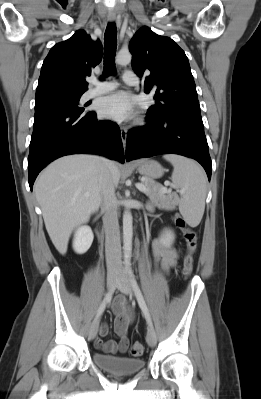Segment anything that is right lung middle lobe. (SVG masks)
I'll use <instances>...</instances> for the list:
<instances>
[{"mask_svg": "<svg viewBox=\"0 0 261 399\" xmlns=\"http://www.w3.org/2000/svg\"><path fill=\"white\" fill-rule=\"evenodd\" d=\"M80 95H71V96H62L56 98H49L40 101H36L35 103V111L45 110L54 107H64L73 109L76 111H83L78 107Z\"/></svg>", "mask_w": 261, "mask_h": 399, "instance_id": "dd1d6c3e", "label": "right lung middle lobe"}]
</instances>
